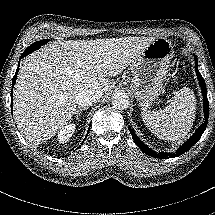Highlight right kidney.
Returning <instances> with one entry per match:
<instances>
[{
    "instance_id": "right-kidney-1",
    "label": "right kidney",
    "mask_w": 215,
    "mask_h": 215,
    "mask_svg": "<svg viewBox=\"0 0 215 215\" xmlns=\"http://www.w3.org/2000/svg\"><path fill=\"white\" fill-rule=\"evenodd\" d=\"M76 125L74 123H70L60 129L57 135V140L59 143H66L69 141V139L72 137L74 134Z\"/></svg>"
}]
</instances>
